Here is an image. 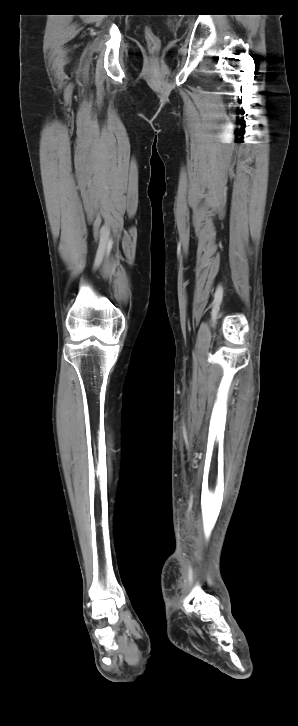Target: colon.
Segmentation results:
<instances>
[{
    "label": "colon",
    "instance_id": "obj_1",
    "mask_svg": "<svg viewBox=\"0 0 298 726\" xmlns=\"http://www.w3.org/2000/svg\"><path fill=\"white\" fill-rule=\"evenodd\" d=\"M145 38L149 48L152 51H156L160 46V40L158 36L149 28L145 30Z\"/></svg>",
    "mask_w": 298,
    "mask_h": 726
}]
</instances>
